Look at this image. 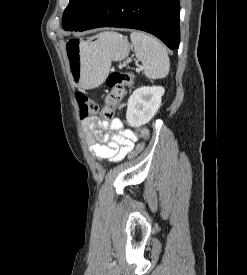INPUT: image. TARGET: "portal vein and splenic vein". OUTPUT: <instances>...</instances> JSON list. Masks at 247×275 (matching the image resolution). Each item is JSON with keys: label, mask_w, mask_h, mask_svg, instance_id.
<instances>
[{"label": "portal vein and splenic vein", "mask_w": 247, "mask_h": 275, "mask_svg": "<svg viewBox=\"0 0 247 275\" xmlns=\"http://www.w3.org/2000/svg\"><path fill=\"white\" fill-rule=\"evenodd\" d=\"M136 70H137V71H140V70H142V68H141V67H138Z\"/></svg>", "instance_id": "1"}]
</instances>
